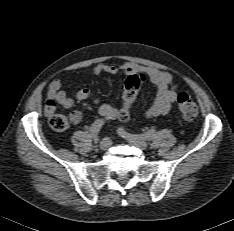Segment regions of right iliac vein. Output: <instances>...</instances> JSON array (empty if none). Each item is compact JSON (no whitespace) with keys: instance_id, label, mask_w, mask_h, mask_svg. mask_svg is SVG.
Wrapping results in <instances>:
<instances>
[{"instance_id":"1","label":"right iliac vein","mask_w":234,"mask_h":231,"mask_svg":"<svg viewBox=\"0 0 234 231\" xmlns=\"http://www.w3.org/2000/svg\"><path fill=\"white\" fill-rule=\"evenodd\" d=\"M111 140L109 138H104L99 144V148L103 151L108 150L111 146Z\"/></svg>"}]
</instances>
